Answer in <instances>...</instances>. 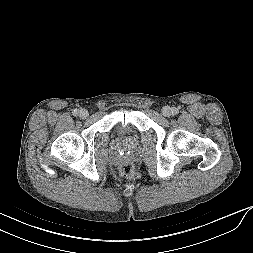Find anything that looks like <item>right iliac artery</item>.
Returning <instances> with one entry per match:
<instances>
[{
	"mask_svg": "<svg viewBox=\"0 0 253 253\" xmlns=\"http://www.w3.org/2000/svg\"><path fill=\"white\" fill-rule=\"evenodd\" d=\"M78 114H79V111H78L77 109H74V110H73V115H74V116H77Z\"/></svg>",
	"mask_w": 253,
	"mask_h": 253,
	"instance_id": "obj_1",
	"label": "right iliac artery"
}]
</instances>
